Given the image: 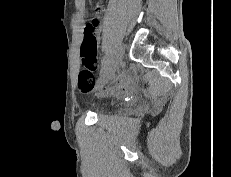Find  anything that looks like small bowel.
<instances>
[{"label":"small bowel","instance_id":"c3829d8e","mask_svg":"<svg viewBox=\"0 0 231 177\" xmlns=\"http://www.w3.org/2000/svg\"><path fill=\"white\" fill-rule=\"evenodd\" d=\"M88 25H86L83 29V32H85V29L87 28ZM90 26H92L97 34V39H98V33L100 32L101 28H102V19L101 16L99 14H96L92 21ZM126 89L125 85L123 84H118L116 86H114L113 90L115 92H121L124 91Z\"/></svg>","mask_w":231,"mask_h":177}]
</instances>
